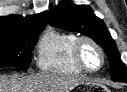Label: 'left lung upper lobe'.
I'll return each mask as SVG.
<instances>
[{
    "instance_id": "1",
    "label": "left lung upper lobe",
    "mask_w": 127,
    "mask_h": 92,
    "mask_svg": "<svg viewBox=\"0 0 127 92\" xmlns=\"http://www.w3.org/2000/svg\"><path fill=\"white\" fill-rule=\"evenodd\" d=\"M49 23L64 30L80 32L103 47L110 62V78L127 82V68L121 61L115 41L103 20L88 5H75L66 0L49 11Z\"/></svg>"
}]
</instances>
